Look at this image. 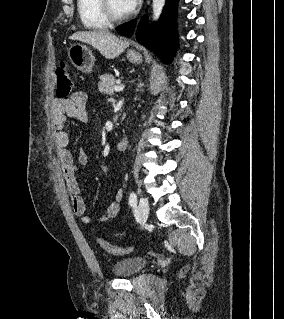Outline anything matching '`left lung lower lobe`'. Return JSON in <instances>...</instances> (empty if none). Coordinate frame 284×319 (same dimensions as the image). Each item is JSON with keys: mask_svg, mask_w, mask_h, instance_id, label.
<instances>
[{"mask_svg": "<svg viewBox=\"0 0 284 319\" xmlns=\"http://www.w3.org/2000/svg\"><path fill=\"white\" fill-rule=\"evenodd\" d=\"M178 0H167L159 22L149 25L145 15L138 24L137 41L156 53L168 64L177 49L176 10ZM136 26V20L119 26L116 30L124 36H131Z\"/></svg>", "mask_w": 284, "mask_h": 319, "instance_id": "left-lung-lower-lobe-1", "label": "left lung lower lobe"}]
</instances>
